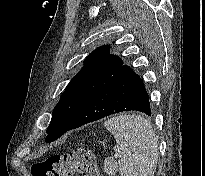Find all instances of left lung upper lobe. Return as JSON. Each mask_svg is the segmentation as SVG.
Listing matches in <instances>:
<instances>
[{"label": "left lung upper lobe", "instance_id": "5c2ea615", "mask_svg": "<svg viewBox=\"0 0 205 176\" xmlns=\"http://www.w3.org/2000/svg\"><path fill=\"white\" fill-rule=\"evenodd\" d=\"M109 46L93 51L84 62L83 68L71 79L55 106L51 123L46 130V142L62 136L73 122L81 104L101 87L123 64L109 53Z\"/></svg>", "mask_w": 205, "mask_h": 176}]
</instances>
